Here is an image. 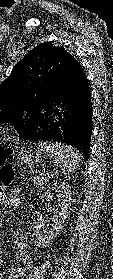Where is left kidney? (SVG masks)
I'll use <instances>...</instances> for the list:
<instances>
[{
	"instance_id": "obj_1",
	"label": "left kidney",
	"mask_w": 113,
	"mask_h": 279,
	"mask_svg": "<svg viewBox=\"0 0 113 279\" xmlns=\"http://www.w3.org/2000/svg\"><path fill=\"white\" fill-rule=\"evenodd\" d=\"M56 194L60 202V210L54 212L52 218L53 225L49 230L41 231L42 219L40 213H35L33 222V235L35 236V243L38 247L45 248L48 244L54 241L59 231L63 228L65 221L69 215L71 206V186L65 183L55 182L53 185L42 194L41 199L50 200Z\"/></svg>"
}]
</instances>
